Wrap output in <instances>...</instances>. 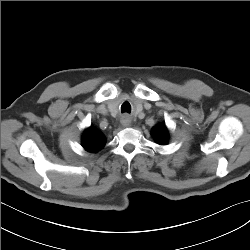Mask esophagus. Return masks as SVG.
Listing matches in <instances>:
<instances>
[{
  "label": "esophagus",
  "instance_id": "34e87169",
  "mask_svg": "<svg viewBox=\"0 0 250 250\" xmlns=\"http://www.w3.org/2000/svg\"><path fill=\"white\" fill-rule=\"evenodd\" d=\"M121 124L124 126V127H128L130 126L131 124V119L129 116L125 115L122 120H121Z\"/></svg>",
  "mask_w": 250,
  "mask_h": 250
}]
</instances>
